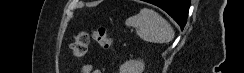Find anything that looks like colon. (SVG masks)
Returning a JSON list of instances; mask_svg holds the SVG:
<instances>
[{
	"mask_svg": "<svg viewBox=\"0 0 244 73\" xmlns=\"http://www.w3.org/2000/svg\"><path fill=\"white\" fill-rule=\"evenodd\" d=\"M91 38L103 49L110 48L113 43V38L107 33L104 26H96L91 32L80 31L74 36L71 43L74 57L82 58L86 55Z\"/></svg>",
	"mask_w": 244,
	"mask_h": 73,
	"instance_id": "1",
	"label": "colon"
}]
</instances>
